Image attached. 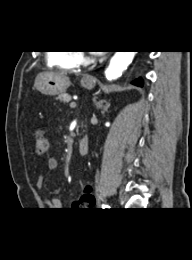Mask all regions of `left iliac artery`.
I'll list each match as a JSON object with an SVG mask.
<instances>
[{"label": "left iliac artery", "mask_w": 192, "mask_h": 260, "mask_svg": "<svg viewBox=\"0 0 192 260\" xmlns=\"http://www.w3.org/2000/svg\"><path fill=\"white\" fill-rule=\"evenodd\" d=\"M102 208H110V207L108 205H106V204H103Z\"/></svg>", "instance_id": "left-iliac-artery-1"}]
</instances>
